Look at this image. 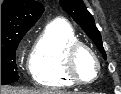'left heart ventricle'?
Listing matches in <instances>:
<instances>
[{"label": "left heart ventricle", "mask_w": 121, "mask_h": 94, "mask_svg": "<svg viewBox=\"0 0 121 94\" xmlns=\"http://www.w3.org/2000/svg\"><path fill=\"white\" fill-rule=\"evenodd\" d=\"M76 68L79 76L84 80H90L96 76V63L93 57L84 50L76 58Z\"/></svg>", "instance_id": "left-heart-ventricle-1"}]
</instances>
